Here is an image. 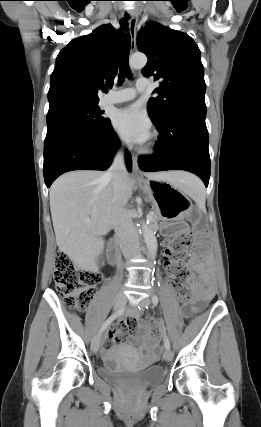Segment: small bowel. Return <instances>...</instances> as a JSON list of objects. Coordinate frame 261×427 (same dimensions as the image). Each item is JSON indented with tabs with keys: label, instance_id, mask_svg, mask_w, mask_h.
<instances>
[{
	"label": "small bowel",
	"instance_id": "small-bowel-1",
	"mask_svg": "<svg viewBox=\"0 0 261 427\" xmlns=\"http://www.w3.org/2000/svg\"><path fill=\"white\" fill-rule=\"evenodd\" d=\"M165 267L167 269V258L164 251ZM195 268L201 270L202 267L198 264L195 265ZM203 282L205 288L201 284L196 283L193 286L194 299L193 302L187 305L184 308V314L186 317H190L192 314L200 310L205 302L211 299L215 292V285L213 280L208 274H204ZM143 322L141 319L130 318L127 320H121L112 330L109 337L105 340L103 346L105 348L112 347L115 343L119 341V338L125 335L128 331L131 334L127 338L128 344L132 348L133 355L138 357L139 350L145 349L148 353L149 360L155 362L158 360L159 356V337L153 338H144L142 329Z\"/></svg>",
	"mask_w": 261,
	"mask_h": 427
}]
</instances>
